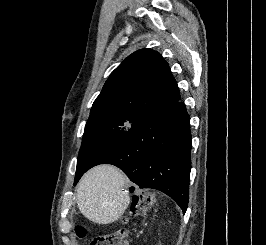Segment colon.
Here are the masks:
<instances>
[{
  "instance_id": "obj_1",
  "label": "colon",
  "mask_w": 266,
  "mask_h": 245,
  "mask_svg": "<svg viewBox=\"0 0 266 245\" xmlns=\"http://www.w3.org/2000/svg\"><path fill=\"white\" fill-rule=\"evenodd\" d=\"M153 202L150 196L136 195L131 202V213L136 215L138 213H145L152 206ZM87 233L86 229L79 228L77 236L83 237ZM129 234L125 230L118 233L100 234L94 237L90 245H131Z\"/></svg>"
}]
</instances>
